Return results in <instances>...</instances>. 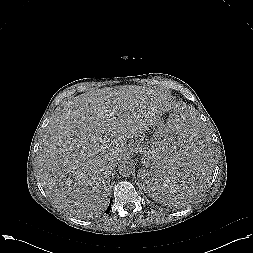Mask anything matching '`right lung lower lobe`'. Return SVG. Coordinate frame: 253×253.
I'll return each instance as SVG.
<instances>
[{
    "label": "right lung lower lobe",
    "mask_w": 253,
    "mask_h": 253,
    "mask_svg": "<svg viewBox=\"0 0 253 253\" xmlns=\"http://www.w3.org/2000/svg\"><path fill=\"white\" fill-rule=\"evenodd\" d=\"M110 209H111V203L109 204V206H108V208H107V210H106V213H107V214L109 213Z\"/></svg>",
    "instance_id": "1"
}]
</instances>
